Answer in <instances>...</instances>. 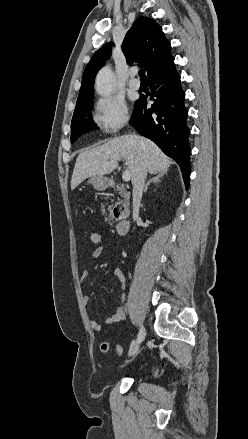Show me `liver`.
<instances>
[{
	"instance_id": "obj_1",
	"label": "liver",
	"mask_w": 248,
	"mask_h": 439,
	"mask_svg": "<svg viewBox=\"0 0 248 439\" xmlns=\"http://www.w3.org/2000/svg\"><path fill=\"white\" fill-rule=\"evenodd\" d=\"M122 158L126 160L132 181L142 164L151 174L166 172L172 164L171 159L151 140L138 135H123L79 154L73 170L71 189L74 190L89 177L111 173Z\"/></svg>"
}]
</instances>
